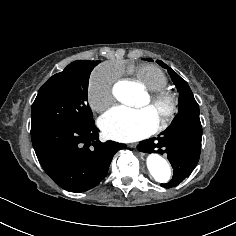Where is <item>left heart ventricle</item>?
I'll use <instances>...</instances> for the list:
<instances>
[{"instance_id": "1", "label": "left heart ventricle", "mask_w": 236, "mask_h": 236, "mask_svg": "<svg viewBox=\"0 0 236 236\" xmlns=\"http://www.w3.org/2000/svg\"><path fill=\"white\" fill-rule=\"evenodd\" d=\"M137 107L150 109L152 111V113H153L155 121L161 122L163 120L165 109L164 108L156 109V108L151 107L149 105V99H146L144 102H142Z\"/></svg>"}]
</instances>
